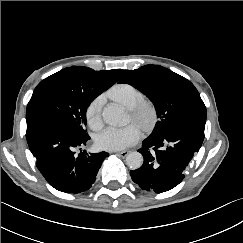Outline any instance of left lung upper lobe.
<instances>
[{
  "label": "left lung upper lobe",
  "mask_w": 243,
  "mask_h": 243,
  "mask_svg": "<svg viewBox=\"0 0 243 243\" xmlns=\"http://www.w3.org/2000/svg\"><path fill=\"white\" fill-rule=\"evenodd\" d=\"M118 83H128L154 104L158 122L148 139L160 138L179 117L206 107L194 85L186 78L159 65L124 70Z\"/></svg>",
  "instance_id": "1"
}]
</instances>
